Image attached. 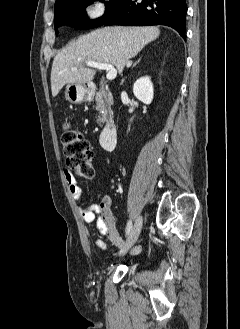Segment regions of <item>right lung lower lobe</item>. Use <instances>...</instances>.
Instances as JSON below:
<instances>
[{
	"mask_svg": "<svg viewBox=\"0 0 240 329\" xmlns=\"http://www.w3.org/2000/svg\"><path fill=\"white\" fill-rule=\"evenodd\" d=\"M124 0L102 24L124 26L166 25L185 39L186 0Z\"/></svg>",
	"mask_w": 240,
	"mask_h": 329,
	"instance_id": "98d812e1",
	"label": "right lung lower lobe"
}]
</instances>
